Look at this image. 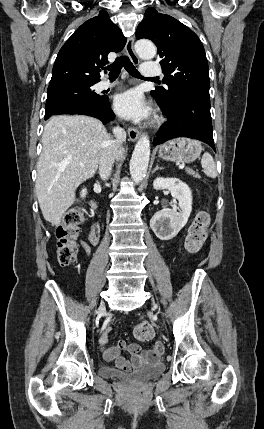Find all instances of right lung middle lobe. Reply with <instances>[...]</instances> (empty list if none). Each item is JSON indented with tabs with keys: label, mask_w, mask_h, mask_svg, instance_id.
Segmentation results:
<instances>
[{
	"label": "right lung middle lobe",
	"mask_w": 264,
	"mask_h": 429,
	"mask_svg": "<svg viewBox=\"0 0 264 429\" xmlns=\"http://www.w3.org/2000/svg\"><path fill=\"white\" fill-rule=\"evenodd\" d=\"M93 85L94 84H67L48 88L45 119L72 103L87 102L100 104L103 98L94 92L92 89Z\"/></svg>",
	"instance_id": "1"
}]
</instances>
